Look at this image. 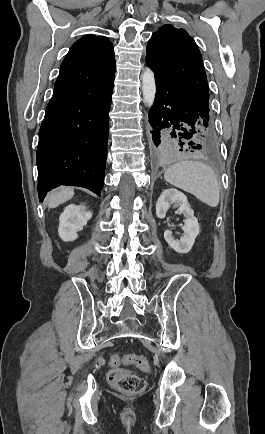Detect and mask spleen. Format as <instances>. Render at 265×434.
I'll return each instance as SVG.
<instances>
[{
    "mask_svg": "<svg viewBox=\"0 0 265 434\" xmlns=\"http://www.w3.org/2000/svg\"><path fill=\"white\" fill-rule=\"evenodd\" d=\"M166 182L196 196L198 200L216 208L220 200V190L214 170L196 160H184L167 168Z\"/></svg>",
    "mask_w": 265,
    "mask_h": 434,
    "instance_id": "3e777b00",
    "label": "spleen"
}]
</instances>
